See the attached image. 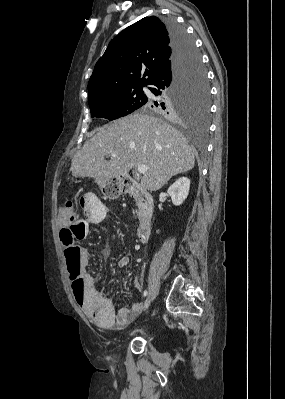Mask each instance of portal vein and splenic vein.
I'll list each match as a JSON object with an SVG mask.
<instances>
[{
  "instance_id": "1",
  "label": "portal vein and splenic vein",
  "mask_w": 285,
  "mask_h": 399,
  "mask_svg": "<svg viewBox=\"0 0 285 399\" xmlns=\"http://www.w3.org/2000/svg\"><path fill=\"white\" fill-rule=\"evenodd\" d=\"M115 156H116L115 153L111 154V157H115ZM137 170H138L139 173H145L148 170V166L140 165V166H138Z\"/></svg>"
}]
</instances>
